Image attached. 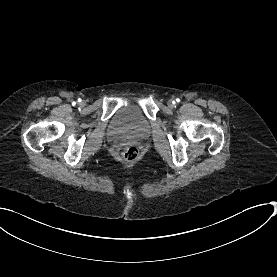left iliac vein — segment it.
Wrapping results in <instances>:
<instances>
[{
  "label": "left iliac vein",
  "instance_id": "obj_1",
  "mask_svg": "<svg viewBox=\"0 0 277 277\" xmlns=\"http://www.w3.org/2000/svg\"><path fill=\"white\" fill-rule=\"evenodd\" d=\"M168 106L170 107V108H172L173 106H174V104H173V101H168Z\"/></svg>",
  "mask_w": 277,
  "mask_h": 277
}]
</instances>
